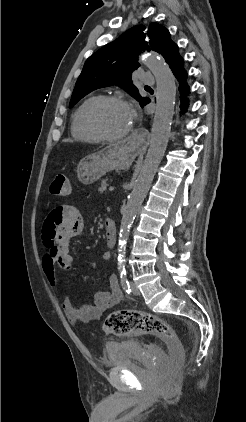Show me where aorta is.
<instances>
[{"label":"aorta","mask_w":246,"mask_h":422,"mask_svg":"<svg viewBox=\"0 0 246 422\" xmlns=\"http://www.w3.org/2000/svg\"><path fill=\"white\" fill-rule=\"evenodd\" d=\"M143 62L152 71L156 79V111L151 129L149 149L122 214L118 243V265L120 267L124 266L126 244L131 225L164 156L170 136L176 99L175 80L164 59L156 54H148L143 58Z\"/></svg>","instance_id":"762f6f07"}]
</instances>
